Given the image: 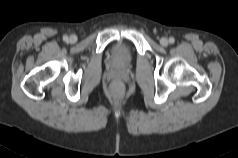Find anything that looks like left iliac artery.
<instances>
[{"label": "left iliac artery", "mask_w": 238, "mask_h": 158, "mask_svg": "<svg viewBox=\"0 0 238 158\" xmlns=\"http://www.w3.org/2000/svg\"><path fill=\"white\" fill-rule=\"evenodd\" d=\"M169 42H170L171 44H173V43L175 42V39H174L173 37H170V38H169Z\"/></svg>", "instance_id": "44dca946"}]
</instances>
